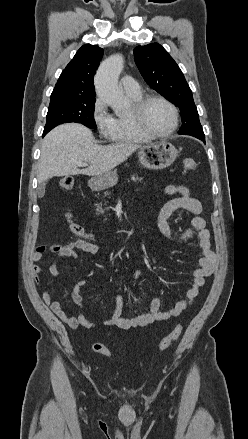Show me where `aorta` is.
Masks as SVG:
<instances>
[{
	"instance_id": "obj_1",
	"label": "aorta",
	"mask_w": 248,
	"mask_h": 439,
	"mask_svg": "<svg viewBox=\"0 0 248 439\" xmlns=\"http://www.w3.org/2000/svg\"><path fill=\"white\" fill-rule=\"evenodd\" d=\"M123 67L122 55H112L101 63L94 79L98 97L116 112L124 110L128 105L127 99L118 86V78Z\"/></svg>"
}]
</instances>
